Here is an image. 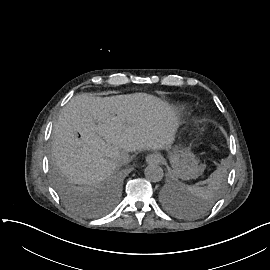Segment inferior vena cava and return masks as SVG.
<instances>
[{
  "instance_id": "inferior-vena-cava-1",
  "label": "inferior vena cava",
  "mask_w": 270,
  "mask_h": 270,
  "mask_svg": "<svg viewBox=\"0 0 270 270\" xmlns=\"http://www.w3.org/2000/svg\"><path fill=\"white\" fill-rule=\"evenodd\" d=\"M118 158L121 159L123 163H126L129 160V155L127 153H119Z\"/></svg>"
}]
</instances>
